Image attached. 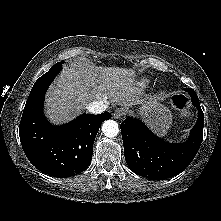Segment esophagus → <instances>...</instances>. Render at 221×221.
<instances>
[{
  "label": "esophagus",
  "mask_w": 221,
  "mask_h": 221,
  "mask_svg": "<svg viewBox=\"0 0 221 221\" xmlns=\"http://www.w3.org/2000/svg\"><path fill=\"white\" fill-rule=\"evenodd\" d=\"M123 115H125V110L123 108H117L114 110L113 112V118L114 119H119L121 118Z\"/></svg>",
  "instance_id": "esophagus-1"
}]
</instances>
